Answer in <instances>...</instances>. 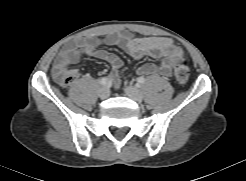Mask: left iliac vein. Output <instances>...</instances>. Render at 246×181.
I'll use <instances>...</instances> for the list:
<instances>
[{
  "label": "left iliac vein",
  "instance_id": "1",
  "mask_svg": "<svg viewBox=\"0 0 246 181\" xmlns=\"http://www.w3.org/2000/svg\"><path fill=\"white\" fill-rule=\"evenodd\" d=\"M126 95L136 102H141L143 100L142 92L134 86H126L124 88Z\"/></svg>",
  "mask_w": 246,
  "mask_h": 181
}]
</instances>
